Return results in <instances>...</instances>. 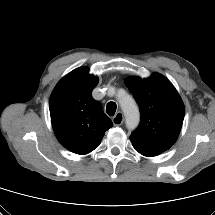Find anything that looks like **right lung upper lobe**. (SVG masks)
Returning a JSON list of instances; mask_svg holds the SVG:
<instances>
[{"label":"right lung upper lobe","mask_w":215,"mask_h":215,"mask_svg":"<svg viewBox=\"0 0 215 215\" xmlns=\"http://www.w3.org/2000/svg\"><path fill=\"white\" fill-rule=\"evenodd\" d=\"M86 66L64 76L49 101L52 126L58 141L69 151L84 155L97 148L105 131L113 126L92 90L99 78Z\"/></svg>","instance_id":"cb5924a9"}]
</instances>
